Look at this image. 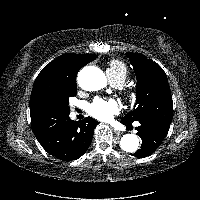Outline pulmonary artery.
<instances>
[{"label":"pulmonary artery","mask_w":200,"mask_h":200,"mask_svg":"<svg viewBox=\"0 0 200 200\" xmlns=\"http://www.w3.org/2000/svg\"><path fill=\"white\" fill-rule=\"evenodd\" d=\"M114 85H116V86H120V84H114Z\"/></svg>","instance_id":"pulmonary-artery-1"}]
</instances>
